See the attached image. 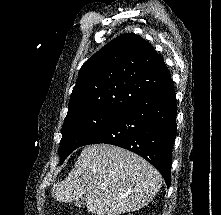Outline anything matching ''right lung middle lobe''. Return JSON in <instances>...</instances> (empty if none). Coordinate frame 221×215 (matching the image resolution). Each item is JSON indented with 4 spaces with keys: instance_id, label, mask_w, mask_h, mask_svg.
<instances>
[{
    "instance_id": "right-lung-middle-lobe-1",
    "label": "right lung middle lobe",
    "mask_w": 221,
    "mask_h": 215,
    "mask_svg": "<svg viewBox=\"0 0 221 215\" xmlns=\"http://www.w3.org/2000/svg\"><path fill=\"white\" fill-rule=\"evenodd\" d=\"M121 114L106 110L91 109L68 114L62 127L60 141V164L76 148L113 123Z\"/></svg>"
}]
</instances>
